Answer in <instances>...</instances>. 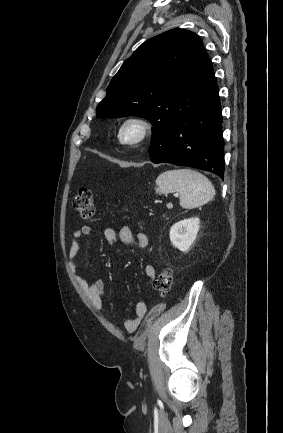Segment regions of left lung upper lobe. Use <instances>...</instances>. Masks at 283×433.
I'll return each instance as SVG.
<instances>
[{"mask_svg":"<svg viewBox=\"0 0 283 433\" xmlns=\"http://www.w3.org/2000/svg\"><path fill=\"white\" fill-rule=\"evenodd\" d=\"M209 58L198 36L172 29L144 42L112 78L98 104L99 118L141 116L154 129L198 106L199 79Z\"/></svg>","mask_w":283,"mask_h":433,"instance_id":"1","label":"left lung upper lobe"}]
</instances>
